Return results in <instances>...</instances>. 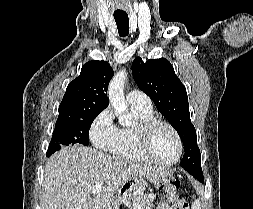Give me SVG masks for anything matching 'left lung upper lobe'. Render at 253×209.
Masks as SVG:
<instances>
[{"label":"left lung upper lobe","mask_w":253,"mask_h":209,"mask_svg":"<svg viewBox=\"0 0 253 209\" xmlns=\"http://www.w3.org/2000/svg\"><path fill=\"white\" fill-rule=\"evenodd\" d=\"M134 81L155 103L157 109L178 132L184 145L181 167L193 172L201 167L196 130L190 120L185 86L176 76L171 63L165 58L145 63L137 57L132 63Z\"/></svg>","instance_id":"1"}]
</instances>
